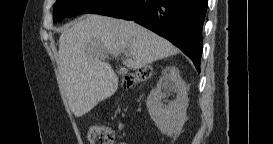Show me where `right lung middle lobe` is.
I'll list each match as a JSON object with an SVG mask.
<instances>
[{
	"instance_id": "right-lung-middle-lobe-1",
	"label": "right lung middle lobe",
	"mask_w": 273,
	"mask_h": 144,
	"mask_svg": "<svg viewBox=\"0 0 273 144\" xmlns=\"http://www.w3.org/2000/svg\"><path fill=\"white\" fill-rule=\"evenodd\" d=\"M109 0H57L54 4L53 20L59 22L65 17L91 13Z\"/></svg>"
}]
</instances>
